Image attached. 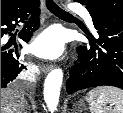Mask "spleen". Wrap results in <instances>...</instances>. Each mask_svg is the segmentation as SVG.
<instances>
[{
	"instance_id": "1",
	"label": "spleen",
	"mask_w": 123,
	"mask_h": 113,
	"mask_svg": "<svg viewBox=\"0 0 123 113\" xmlns=\"http://www.w3.org/2000/svg\"><path fill=\"white\" fill-rule=\"evenodd\" d=\"M89 103L91 113H111V109L106 105L114 106L113 113H123V90L102 86L89 91L85 97Z\"/></svg>"
}]
</instances>
